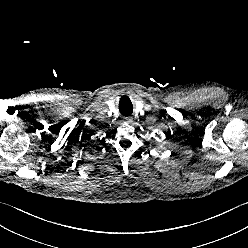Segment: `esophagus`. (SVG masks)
<instances>
[{
  "label": "esophagus",
  "mask_w": 248,
  "mask_h": 248,
  "mask_svg": "<svg viewBox=\"0 0 248 248\" xmlns=\"http://www.w3.org/2000/svg\"><path fill=\"white\" fill-rule=\"evenodd\" d=\"M124 122L130 123L132 121L131 117H124Z\"/></svg>",
  "instance_id": "34e87169"
}]
</instances>
